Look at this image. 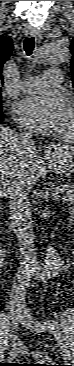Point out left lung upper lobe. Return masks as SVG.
Instances as JSON below:
<instances>
[{"label": "left lung upper lobe", "mask_w": 74, "mask_h": 366, "mask_svg": "<svg viewBox=\"0 0 74 366\" xmlns=\"http://www.w3.org/2000/svg\"><path fill=\"white\" fill-rule=\"evenodd\" d=\"M70 50L72 52V61H71V71H72V85L74 87V39H72V43L70 45Z\"/></svg>", "instance_id": "left-lung-upper-lobe-1"}]
</instances>
